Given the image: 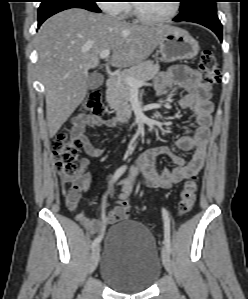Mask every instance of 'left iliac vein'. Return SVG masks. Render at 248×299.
<instances>
[{"label":"left iliac vein","instance_id":"left-iliac-vein-1","mask_svg":"<svg viewBox=\"0 0 248 299\" xmlns=\"http://www.w3.org/2000/svg\"><path fill=\"white\" fill-rule=\"evenodd\" d=\"M161 254H162L163 265H164L165 269L167 270V272H169L171 274L172 273L171 258H170V254L165 246L162 247Z\"/></svg>","mask_w":248,"mask_h":299}]
</instances>
